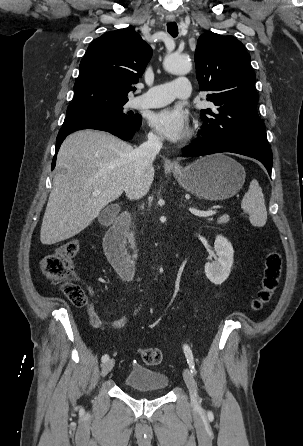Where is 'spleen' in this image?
<instances>
[{"label":"spleen","mask_w":303,"mask_h":446,"mask_svg":"<svg viewBox=\"0 0 303 446\" xmlns=\"http://www.w3.org/2000/svg\"><path fill=\"white\" fill-rule=\"evenodd\" d=\"M241 208L249 214L250 223L256 227H262L267 221L264 195L257 180L253 179L247 193L244 195Z\"/></svg>","instance_id":"3e777b00"}]
</instances>
